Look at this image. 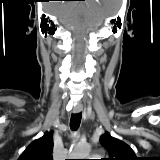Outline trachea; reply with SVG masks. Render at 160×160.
Returning a JSON list of instances; mask_svg holds the SVG:
<instances>
[{
  "instance_id": "obj_1",
  "label": "trachea",
  "mask_w": 160,
  "mask_h": 160,
  "mask_svg": "<svg viewBox=\"0 0 160 160\" xmlns=\"http://www.w3.org/2000/svg\"><path fill=\"white\" fill-rule=\"evenodd\" d=\"M82 115L81 113H75L71 115L70 127L72 130H77L81 123Z\"/></svg>"
}]
</instances>
